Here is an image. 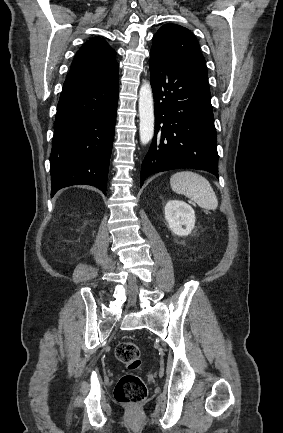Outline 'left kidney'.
Here are the masks:
<instances>
[{"label":"left kidney","mask_w":283,"mask_h":433,"mask_svg":"<svg viewBox=\"0 0 283 433\" xmlns=\"http://www.w3.org/2000/svg\"><path fill=\"white\" fill-rule=\"evenodd\" d=\"M165 218L170 230L178 236H187L195 226V212L193 208L180 200H170L165 209Z\"/></svg>","instance_id":"left-kidney-1"}]
</instances>
